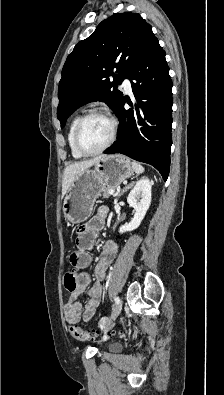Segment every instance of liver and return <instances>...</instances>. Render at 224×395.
Here are the masks:
<instances>
[{"label":"liver","mask_w":224,"mask_h":395,"mask_svg":"<svg viewBox=\"0 0 224 395\" xmlns=\"http://www.w3.org/2000/svg\"><path fill=\"white\" fill-rule=\"evenodd\" d=\"M104 155L94 157L92 159L84 160V161H79L75 162L69 166H67L64 170L63 174V181H62V197L67 193L69 190L73 180L75 179V176L85 170L88 169L89 167L93 166L95 163H97L101 158H103Z\"/></svg>","instance_id":"obj_1"}]
</instances>
